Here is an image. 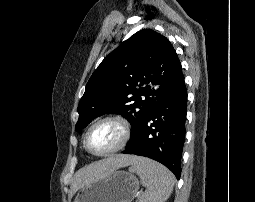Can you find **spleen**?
<instances>
[{"instance_id":"3e777b00","label":"spleen","mask_w":255,"mask_h":202,"mask_svg":"<svg viewBox=\"0 0 255 202\" xmlns=\"http://www.w3.org/2000/svg\"><path fill=\"white\" fill-rule=\"evenodd\" d=\"M136 173L146 191L139 202H165L173 191L174 175L163 165L147 158L139 157L129 168Z\"/></svg>"}]
</instances>
